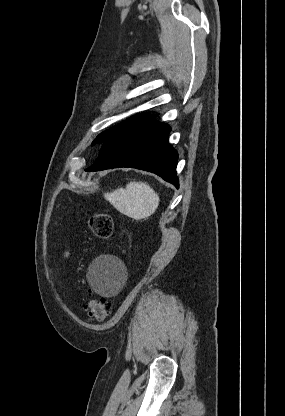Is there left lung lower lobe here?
Returning <instances> with one entry per match:
<instances>
[{
    "instance_id": "left-lung-lower-lobe-1",
    "label": "left lung lower lobe",
    "mask_w": 285,
    "mask_h": 416,
    "mask_svg": "<svg viewBox=\"0 0 285 416\" xmlns=\"http://www.w3.org/2000/svg\"><path fill=\"white\" fill-rule=\"evenodd\" d=\"M169 132L168 125L151 116L140 117L111 135L103 143L95 163L86 171L133 167L153 172L178 188V154L167 143Z\"/></svg>"
}]
</instances>
